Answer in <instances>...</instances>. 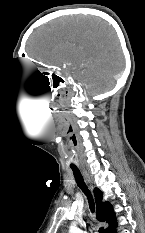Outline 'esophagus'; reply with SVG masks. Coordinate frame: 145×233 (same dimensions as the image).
Instances as JSON below:
<instances>
[{"label":"esophagus","mask_w":145,"mask_h":233,"mask_svg":"<svg viewBox=\"0 0 145 233\" xmlns=\"http://www.w3.org/2000/svg\"><path fill=\"white\" fill-rule=\"evenodd\" d=\"M86 179L90 182V178L86 172H84Z\"/></svg>","instance_id":"1"}]
</instances>
